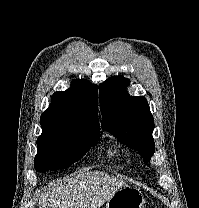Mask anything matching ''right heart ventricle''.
I'll use <instances>...</instances> for the list:
<instances>
[{"instance_id": "obj_1", "label": "right heart ventricle", "mask_w": 199, "mask_h": 208, "mask_svg": "<svg viewBox=\"0 0 199 208\" xmlns=\"http://www.w3.org/2000/svg\"><path fill=\"white\" fill-rule=\"evenodd\" d=\"M110 155H111V156L117 155V151H111V152H110Z\"/></svg>"}]
</instances>
